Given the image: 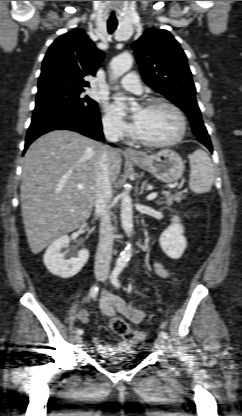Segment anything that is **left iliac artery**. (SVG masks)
<instances>
[{
	"label": "left iliac artery",
	"mask_w": 242,
	"mask_h": 416,
	"mask_svg": "<svg viewBox=\"0 0 242 416\" xmlns=\"http://www.w3.org/2000/svg\"><path fill=\"white\" fill-rule=\"evenodd\" d=\"M124 267H125L124 264H118L111 273V276H110L111 283L117 288L120 287V283L118 281V276H119L120 272L123 270ZM160 336H162L164 339H167V337H168L167 333L165 331H161Z\"/></svg>",
	"instance_id": "left-iliac-artery-1"
}]
</instances>
